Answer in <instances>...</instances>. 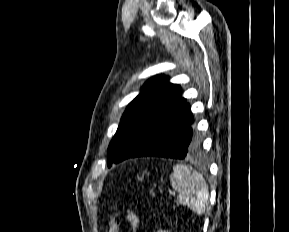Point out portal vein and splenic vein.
<instances>
[{"mask_svg":"<svg viewBox=\"0 0 289 232\" xmlns=\"http://www.w3.org/2000/svg\"><path fill=\"white\" fill-rule=\"evenodd\" d=\"M175 196H176L175 192H170V193H169V198H173V197H175Z\"/></svg>","mask_w":289,"mask_h":232,"instance_id":"1","label":"portal vein and splenic vein"}]
</instances>
